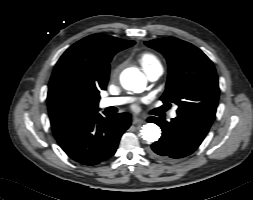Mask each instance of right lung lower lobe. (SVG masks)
Instances as JSON below:
<instances>
[{
    "mask_svg": "<svg viewBox=\"0 0 253 200\" xmlns=\"http://www.w3.org/2000/svg\"><path fill=\"white\" fill-rule=\"evenodd\" d=\"M130 124L127 113L103 117L96 112L53 126L52 131L70 158L84 165H95L114 155Z\"/></svg>",
    "mask_w": 253,
    "mask_h": 200,
    "instance_id": "right-lung-lower-lobe-1",
    "label": "right lung lower lobe"
}]
</instances>
